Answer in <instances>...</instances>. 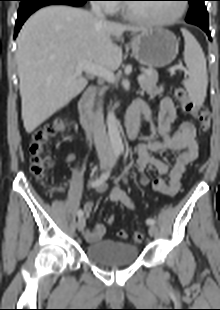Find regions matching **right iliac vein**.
Wrapping results in <instances>:
<instances>
[{
  "label": "right iliac vein",
  "instance_id": "right-iliac-vein-1",
  "mask_svg": "<svg viewBox=\"0 0 220 310\" xmlns=\"http://www.w3.org/2000/svg\"><path fill=\"white\" fill-rule=\"evenodd\" d=\"M110 162H111L110 157H107V156L101 157L99 160V166L101 169H104L110 164ZM85 224H86L85 218L80 217L77 222L78 231H83V229L85 228Z\"/></svg>",
  "mask_w": 220,
  "mask_h": 310
}]
</instances>
